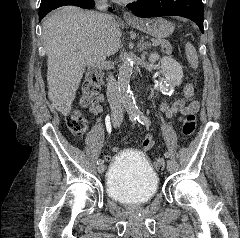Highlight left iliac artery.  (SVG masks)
Wrapping results in <instances>:
<instances>
[{"instance_id": "1", "label": "left iliac artery", "mask_w": 240, "mask_h": 238, "mask_svg": "<svg viewBox=\"0 0 240 238\" xmlns=\"http://www.w3.org/2000/svg\"><path fill=\"white\" fill-rule=\"evenodd\" d=\"M137 120H138L139 123H141L143 125H149L150 124L149 119L144 114H139L137 116ZM164 155H165L166 158L170 157V154L168 152H166Z\"/></svg>"}]
</instances>
